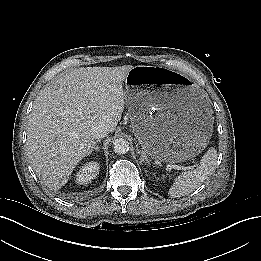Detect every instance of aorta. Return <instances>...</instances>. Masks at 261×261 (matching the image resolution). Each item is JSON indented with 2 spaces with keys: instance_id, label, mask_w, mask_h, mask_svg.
Listing matches in <instances>:
<instances>
[{
  "instance_id": "obj_1",
  "label": "aorta",
  "mask_w": 261,
  "mask_h": 261,
  "mask_svg": "<svg viewBox=\"0 0 261 261\" xmlns=\"http://www.w3.org/2000/svg\"><path fill=\"white\" fill-rule=\"evenodd\" d=\"M113 150L118 155L126 154L129 151V142L124 138H117L113 141Z\"/></svg>"
}]
</instances>
